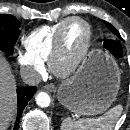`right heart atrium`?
<instances>
[{"label":"right heart atrium","instance_id":"right-heart-atrium-1","mask_svg":"<svg viewBox=\"0 0 130 130\" xmlns=\"http://www.w3.org/2000/svg\"><path fill=\"white\" fill-rule=\"evenodd\" d=\"M16 62L30 81H37L44 73V63L32 57L27 52L18 51L16 55Z\"/></svg>","mask_w":130,"mask_h":130}]
</instances>
